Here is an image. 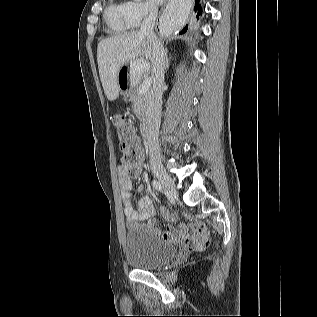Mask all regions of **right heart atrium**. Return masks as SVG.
<instances>
[{"instance_id": "d8ad5b80", "label": "right heart atrium", "mask_w": 317, "mask_h": 317, "mask_svg": "<svg viewBox=\"0 0 317 317\" xmlns=\"http://www.w3.org/2000/svg\"><path fill=\"white\" fill-rule=\"evenodd\" d=\"M127 15L133 27L139 26L144 20L153 16L155 7L143 0H130L125 2Z\"/></svg>"}]
</instances>
